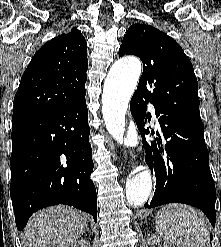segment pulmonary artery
Wrapping results in <instances>:
<instances>
[{"label":"pulmonary artery","mask_w":221,"mask_h":247,"mask_svg":"<svg viewBox=\"0 0 221 247\" xmlns=\"http://www.w3.org/2000/svg\"><path fill=\"white\" fill-rule=\"evenodd\" d=\"M149 107H150L151 112H152V114H153V116H154V118H155V110H154V107H153L152 105H150ZM155 119H156V118H155Z\"/></svg>","instance_id":"obj_1"}]
</instances>
